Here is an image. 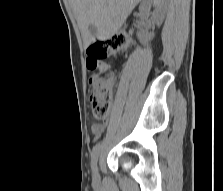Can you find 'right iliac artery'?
Wrapping results in <instances>:
<instances>
[{"mask_svg": "<svg viewBox=\"0 0 223 191\" xmlns=\"http://www.w3.org/2000/svg\"><path fill=\"white\" fill-rule=\"evenodd\" d=\"M100 143H98L96 146L93 147L92 153H91V164L92 168L96 167L97 161H98V156L100 152Z\"/></svg>", "mask_w": 223, "mask_h": 191, "instance_id": "obj_1", "label": "right iliac artery"}]
</instances>
